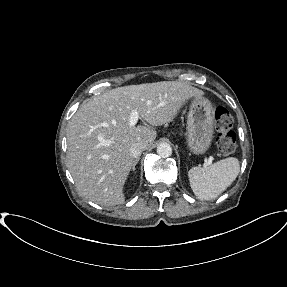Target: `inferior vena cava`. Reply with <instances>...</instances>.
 I'll use <instances>...</instances> for the list:
<instances>
[{"mask_svg":"<svg viewBox=\"0 0 287 287\" xmlns=\"http://www.w3.org/2000/svg\"><path fill=\"white\" fill-rule=\"evenodd\" d=\"M145 149L144 145L140 142L134 143L131 147H130V155L133 158H138L141 153L143 152V150Z\"/></svg>","mask_w":287,"mask_h":287,"instance_id":"inferior-vena-cava-1","label":"inferior vena cava"}]
</instances>
